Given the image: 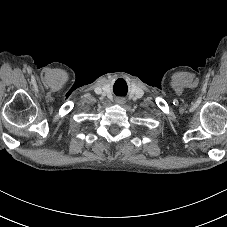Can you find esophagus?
I'll return each mask as SVG.
<instances>
[{"label": "esophagus", "instance_id": "esophagus-1", "mask_svg": "<svg viewBox=\"0 0 227 227\" xmlns=\"http://www.w3.org/2000/svg\"><path fill=\"white\" fill-rule=\"evenodd\" d=\"M124 102V99H117V103L122 104Z\"/></svg>", "mask_w": 227, "mask_h": 227}]
</instances>
